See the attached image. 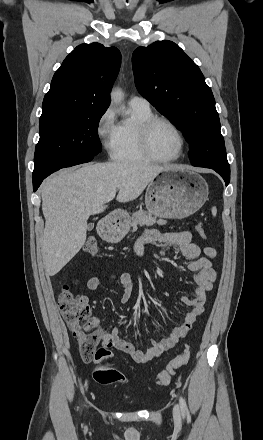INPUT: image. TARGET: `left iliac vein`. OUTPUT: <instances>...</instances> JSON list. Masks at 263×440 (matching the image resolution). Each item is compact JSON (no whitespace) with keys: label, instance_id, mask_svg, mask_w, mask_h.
Returning a JSON list of instances; mask_svg holds the SVG:
<instances>
[{"label":"left iliac vein","instance_id":"obj_1","mask_svg":"<svg viewBox=\"0 0 263 440\" xmlns=\"http://www.w3.org/2000/svg\"><path fill=\"white\" fill-rule=\"evenodd\" d=\"M173 417L175 422H180L181 419V414H180V409L178 405H175L173 408Z\"/></svg>","mask_w":263,"mask_h":440}]
</instances>
